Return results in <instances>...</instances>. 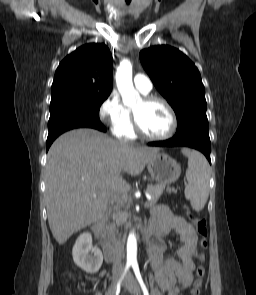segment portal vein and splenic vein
Masks as SVG:
<instances>
[{
  "label": "portal vein and splenic vein",
  "instance_id": "portal-vein-and-splenic-vein-1",
  "mask_svg": "<svg viewBox=\"0 0 256 295\" xmlns=\"http://www.w3.org/2000/svg\"><path fill=\"white\" fill-rule=\"evenodd\" d=\"M148 204H149V201H147V202L145 203V207L148 206Z\"/></svg>",
  "mask_w": 256,
  "mask_h": 295
}]
</instances>
